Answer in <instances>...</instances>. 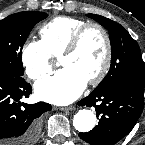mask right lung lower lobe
Wrapping results in <instances>:
<instances>
[{
	"label": "right lung lower lobe",
	"instance_id": "98d812e1",
	"mask_svg": "<svg viewBox=\"0 0 145 145\" xmlns=\"http://www.w3.org/2000/svg\"><path fill=\"white\" fill-rule=\"evenodd\" d=\"M32 88L23 77L0 76V145H35L39 138L38 118L51 105L21 103Z\"/></svg>",
	"mask_w": 145,
	"mask_h": 145
}]
</instances>
